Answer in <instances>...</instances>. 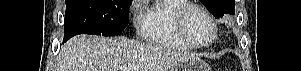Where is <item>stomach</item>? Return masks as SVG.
<instances>
[{"label": "stomach", "instance_id": "0dacf381", "mask_svg": "<svg viewBox=\"0 0 301 71\" xmlns=\"http://www.w3.org/2000/svg\"><path fill=\"white\" fill-rule=\"evenodd\" d=\"M171 71H211L210 67L206 62L201 60L199 57L190 56L183 60L176 67L172 68Z\"/></svg>", "mask_w": 301, "mask_h": 71}]
</instances>
